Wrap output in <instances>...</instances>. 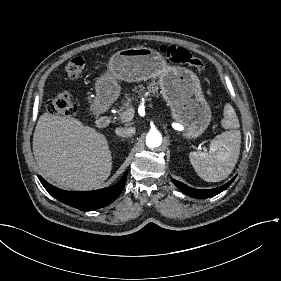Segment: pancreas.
<instances>
[{
  "label": "pancreas",
  "instance_id": "cf45deb5",
  "mask_svg": "<svg viewBox=\"0 0 281 281\" xmlns=\"http://www.w3.org/2000/svg\"><path fill=\"white\" fill-rule=\"evenodd\" d=\"M147 84L149 85L147 88H152L153 92H155L158 89V87H156L157 82L155 80H153L152 82L147 83ZM144 89L145 88L142 85H140L139 90H137V88H135L134 91H136L140 95V97H142L144 94ZM131 101L132 100L129 97L125 100V102L123 103V105L121 107L122 109H125V110H119L117 112V115H118L117 120H122L123 115L126 114L128 111V108L132 106L130 104Z\"/></svg>",
  "mask_w": 281,
  "mask_h": 281
}]
</instances>
